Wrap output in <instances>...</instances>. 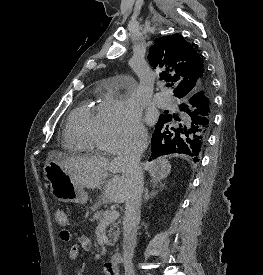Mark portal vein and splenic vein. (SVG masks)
Here are the masks:
<instances>
[{"label": "portal vein and splenic vein", "instance_id": "18ae733b", "mask_svg": "<svg viewBox=\"0 0 263 275\" xmlns=\"http://www.w3.org/2000/svg\"><path fill=\"white\" fill-rule=\"evenodd\" d=\"M119 218V212L116 210H111L105 213L104 217L100 221L101 224H109Z\"/></svg>", "mask_w": 263, "mask_h": 275}]
</instances>
